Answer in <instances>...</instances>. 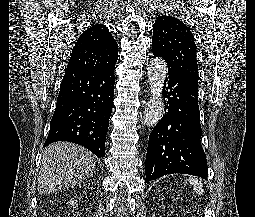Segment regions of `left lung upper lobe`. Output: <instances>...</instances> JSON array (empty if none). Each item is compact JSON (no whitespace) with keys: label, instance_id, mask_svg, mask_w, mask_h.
Wrapping results in <instances>:
<instances>
[{"label":"left lung upper lobe","instance_id":"1","mask_svg":"<svg viewBox=\"0 0 255 217\" xmlns=\"http://www.w3.org/2000/svg\"><path fill=\"white\" fill-rule=\"evenodd\" d=\"M196 44L190 29L173 16H160L153 26L152 50L168 67L186 71L197 79Z\"/></svg>","mask_w":255,"mask_h":217}]
</instances>
